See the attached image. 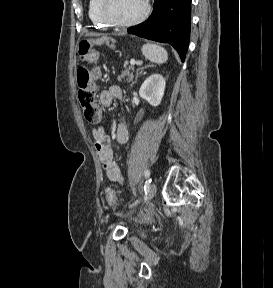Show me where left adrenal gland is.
Masks as SVG:
<instances>
[{
  "label": "left adrenal gland",
  "mask_w": 273,
  "mask_h": 288,
  "mask_svg": "<svg viewBox=\"0 0 273 288\" xmlns=\"http://www.w3.org/2000/svg\"><path fill=\"white\" fill-rule=\"evenodd\" d=\"M149 66H150V65H146V66H144V67H141V68L137 69L135 81H134L132 84H134V83L137 81V78H138V76H139V72H140V71H143L144 69H146V68L149 67Z\"/></svg>",
  "instance_id": "a2214340"
}]
</instances>
